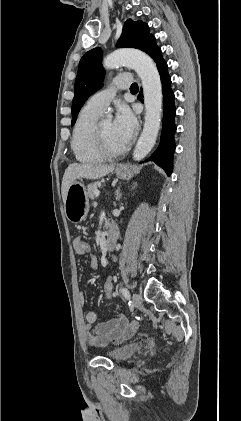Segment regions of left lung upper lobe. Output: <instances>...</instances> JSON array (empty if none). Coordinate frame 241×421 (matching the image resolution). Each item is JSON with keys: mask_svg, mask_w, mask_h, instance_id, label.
<instances>
[{"mask_svg": "<svg viewBox=\"0 0 241 421\" xmlns=\"http://www.w3.org/2000/svg\"><path fill=\"white\" fill-rule=\"evenodd\" d=\"M154 36L149 33V27L141 20H127L123 26L122 35L116 47H130L144 51ZM102 50L94 48L83 55L80 60L75 80V95L72 101V126L87 98L102 86L105 71L101 65Z\"/></svg>", "mask_w": 241, "mask_h": 421, "instance_id": "1", "label": "left lung upper lobe"}]
</instances>
